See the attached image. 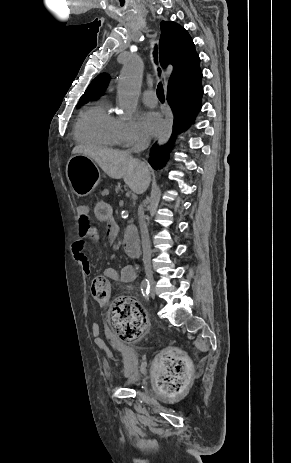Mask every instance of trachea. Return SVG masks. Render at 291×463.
<instances>
[{
    "instance_id": "3493384b",
    "label": "trachea",
    "mask_w": 291,
    "mask_h": 463,
    "mask_svg": "<svg viewBox=\"0 0 291 463\" xmlns=\"http://www.w3.org/2000/svg\"><path fill=\"white\" fill-rule=\"evenodd\" d=\"M153 54H154L155 63H157V48H156V47H155V49H154ZM158 74H159V75L161 74L160 68H158ZM156 92H157V96H158L159 100L163 102L165 98H164L163 85H162L161 82L158 84V86H157V91H156Z\"/></svg>"
}]
</instances>
